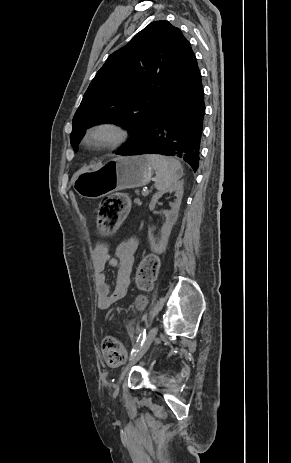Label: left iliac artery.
<instances>
[{"label":"left iliac artery","mask_w":291,"mask_h":463,"mask_svg":"<svg viewBox=\"0 0 291 463\" xmlns=\"http://www.w3.org/2000/svg\"><path fill=\"white\" fill-rule=\"evenodd\" d=\"M145 338H146V329H143V330L141 331V333H140L138 339H137V342H136L134 348H133L132 351H131V355H130V357H129V360H131L132 356H133L134 354H136V352H138V350H139V348L142 346V344H143Z\"/></svg>","instance_id":"obj_1"}]
</instances>
